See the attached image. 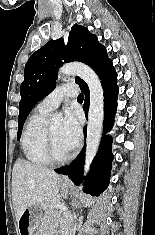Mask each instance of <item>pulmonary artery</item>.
I'll return each instance as SVG.
<instances>
[{
  "label": "pulmonary artery",
  "instance_id": "1",
  "mask_svg": "<svg viewBox=\"0 0 155 235\" xmlns=\"http://www.w3.org/2000/svg\"><path fill=\"white\" fill-rule=\"evenodd\" d=\"M78 94V87L75 84H64L57 87L48 94L38 105V108L45 112L56 109L66 97H75Z\"/></svg>",
  "mask_w": 155,
  "mask_h": 235
}]
</instances>
